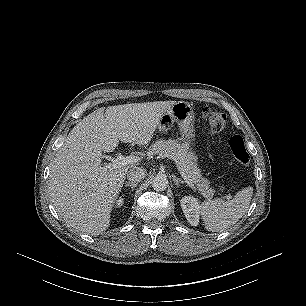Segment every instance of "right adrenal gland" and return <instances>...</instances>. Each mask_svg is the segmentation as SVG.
<instances>
[{
    "label": "right adrenal gland",
    "instance_id": "right-adrenal-gland-1",
    "mask_svg": "<svg viewBox=\"0 0 306 306\" xmlns=\"http://www.w3.org/2000/svg\"><path fill=\"white\" fill-rule=\"evenodd\" d=\"M136 186H137V183H132V182H128L125 184V187H130L131 191H133Z\"/></svg>",
    "mask_w": 306,
    "mask_h": 306
}]
</instances>
